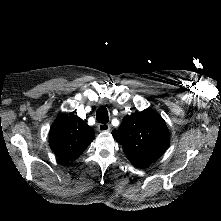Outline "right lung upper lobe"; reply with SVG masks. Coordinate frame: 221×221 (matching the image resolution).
Wrapping results in <instances>:
<instances>
[{
	"mask_svg": "<svg viewBox=\"0 0 221 221\" xmlns=\"http://www.w3.org/2000/svg\"><path fill=\"white\" fill-rule=\"evenodd\" d=\"M94 138L93 128L74 114L60 115L49 133L50 147L63 163L75 161Z\"/></svg>",
	"mask_w": 221,
	"mask_h": 221,
	"instance_id": "right-lung-upper-lobe-1",
	"label": "right lung upper lobe"
}]
</instances>
